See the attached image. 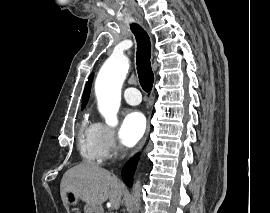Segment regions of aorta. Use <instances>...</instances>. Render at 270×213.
<instances>
[{
	"mask_svg": "<svg viewBox=\"0 0 270 213\" xmlns=\"http://www.w3.org/2000/svg\"><path fill=\"white\" fill-rule=\"evenodd\" d=\"M130 66L125 55L112 54L101 67L95 93L98 109L109 126L118 124L117 113L121 103V88Z\"/></svg>",
	"mask_w": 270,
	"mask_h": 213,
	"instance_id": "762f6f07",
	"label": "aorta"
}]
</instances>
